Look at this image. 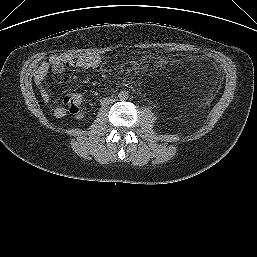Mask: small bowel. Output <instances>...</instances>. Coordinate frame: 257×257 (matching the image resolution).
<instances>
[{
  "label": "small bowel",
  "instance_id": "small-bowel-1",
  "mask_svg": "<svg viewBox=\"0 0 257 257\" xmlns=\"http://www.w3.org/2000/svg\"><path fill=\"white\" fill-rule=\"evenodd\" d=\"M101 63V57L97 54H81L77 56L72 55H53L48 60L42 62L37 68L34 79L40 89L41 97L44 102H50V96L44 87L45 78L51 70L54 74H61L64 71L65 65L74 68L91 69L96 68ZM66 110L63 107L54 109V115L57 118L65 116Z\"/></svg>",
  "mask_w": 257,
  "mask_h": 257
}]
</instances>
